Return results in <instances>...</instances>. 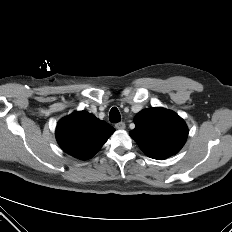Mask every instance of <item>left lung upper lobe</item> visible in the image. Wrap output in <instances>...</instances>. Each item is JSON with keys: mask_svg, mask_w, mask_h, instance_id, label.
<instances>
[{"mask_svg": "<svg viewBox=\"0 0 232 232\" xmlns=\"http://www.w3.org/2000/svg\"><path fill=\"white\" fill-rule=\"evenodd\" d=\"M130 136L140 149L153 159H166L176 154L186 142L188 129L175 112L164 108L144 109L134 118Z\"/></svg>", "mask_w": 232, "mask_h": 232, "instance_id": "1", "label": "left lung upper lobe"}]
</instances>
